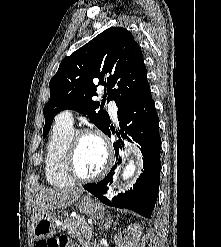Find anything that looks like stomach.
I'll use <instances>...</instances> for the list:
<instances>
[{
    "mask_svg": "<svg viewBox=\"0 0 221 247\" xmlns=\"http://www.w3.org/2000/svg\"><path fill=\"white\" fill-rule=\"evenodd\" d=\"M77 207L83 214L91 218H102L105 214L104 208L99 203L93 201L89 196L80 197L77 202ZM56 221V213L51 212L45 214L34 226L33 233L35 238L45 239L53 236L58 227Z\"/></svg>",
    "mask_w": 221,
    "mask_h": 247,
    "instance_id": "obj_1",
    "label": "stomach"
}]
</instances>
